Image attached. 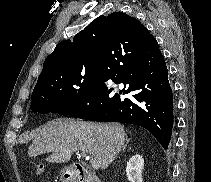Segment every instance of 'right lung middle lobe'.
Returning a JSON list of instances; mask_svg holds the SVG:
<instances>
[{
	"label": "right lung middle lobe",
	"mask_w": 211,
	"mask_h": 182,
	"mask_svg": "<svg viewBox=\"0 0 211 182\" xmlns=\"http://www.w3.org/2000/svg\"><path fill=\"white\" fill-rule=\"evenodd\" d=\"M98 77V67L78 71L58 80L35 86L30 109L63 115L77 105Z\"/></svg>",
	"instance_id": "1"
}]
</instances>
